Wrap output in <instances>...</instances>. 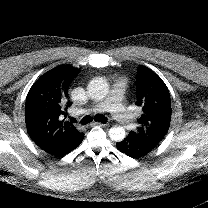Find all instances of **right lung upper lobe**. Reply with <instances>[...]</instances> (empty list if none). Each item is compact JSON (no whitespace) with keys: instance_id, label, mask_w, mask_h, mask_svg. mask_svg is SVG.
Returning a JSON list of instances; mask_svg holds the SVG:
<instances>
[{"instance_id":"obj_1","label":"right lung upper lobe","mask_w":208,"mask_h":208,"mask_svg":"<svg viewBox=\"0 0 208 208\" xmlns=\"http://www.w3.org/2000/svg\"><path fill=\"white\" fill-rule=\"evenodd\" d=\"M80 69L70 65L53 68L31 87L25 103V122L29 136L43 150L69 141L79 133L67 119L71 106L68 89Z\"/></svg>"}]
</instances>
